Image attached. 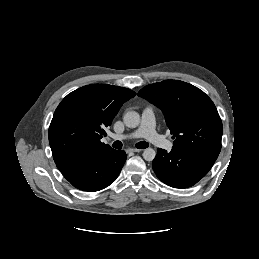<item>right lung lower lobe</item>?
Instances as JSON below:
<instances>
[{"instance_id": "obj_1", "label": "right lung lower lobe", "mask_w": 259, "mask_h": 259, "mask_svg": "<svg viewBox=\"0 0 259 259\" xmlns=\"http://www.w3.org/2000/svg\"><path fill=\"white\" fill-rule=\"evenodd\" d=\"M125 161V151L113 149L76 162L56 165L74 187L94 192L109 186L118 177Z\"/></svg>"}]
</instances>
